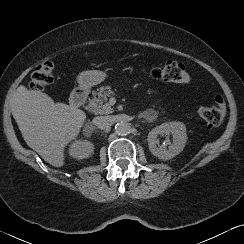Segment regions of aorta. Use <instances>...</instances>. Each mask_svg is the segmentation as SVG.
Here are the masks:
<instances>
[{"mask_svg": "<svg viewBox=\"0 0 244 244\" xmlns=\"http://www.w3.org/2000/svg\"><path fill=\"white\" fill-rule=\"evenodd\" d=\"M115 130L120 135H127L130 133L131 127L127 122H120L116 124Z\"/></svg>", "mask_w": 244, "mask_h": 244, "instance_id": "1", "label": "aorta"}]
</instances>
